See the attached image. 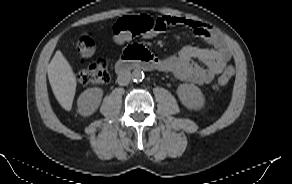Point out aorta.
Masks as SVG:
<instances>
[{
    "instance_id": "1",
    "label": "aorta",
    "mask_w": 292,
    "mask_h": 184,
    "mask_svg": "<svg viewBox=\"0 0 292 184\" xmlns=\"http://www.w3.org/2000/svg\"><path fill=\"white\" fill-rule=\"evenodd\" d=\"M131 77L134 82H141L144 79V73L139 69H135L132 72Z\"/></svg>"
}]
</instances>
